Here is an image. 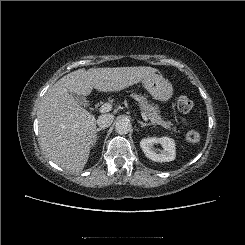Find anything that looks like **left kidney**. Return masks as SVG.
Returning a JSON list of instances; mask_svg holds the SVG:
<instances>
[{"label": "left kidney", "instance_id": "1", "mask_svg": "<svg viewBox=\"0 0 245 245\" xmlns=\"http://www.w3.org/2000/svg\"><path fill=\"white\" fill-rule=\"evenodd\" d=\"M154 144H161L163 150L157 153ZM140 146L147 158L155 162H170L175 159V141L169 137H148L140 141Z\"/></svg>", "mask_w": 245, "mask_h": 245}]
</instances>
